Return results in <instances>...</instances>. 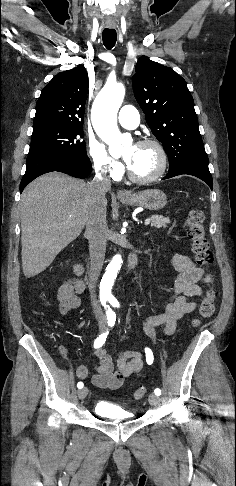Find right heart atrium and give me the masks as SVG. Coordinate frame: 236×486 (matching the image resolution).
Returning <instances> with one entry per match:
<instances>
[{"label": "right heart atrium", "mask_w": 236, "mask_h": 486, "mask_svg": "<svg viewBox=\"0 0 236 486\" xmlns=\"http://www.w3.org/2000/svg\"><path fill=\"white\" fill-rule=\"evenodd\" d=\"M88 155L94 170L98 174L112 179H116L121 175L123 171L122 164L107 152L102 143L90 140L88 143Z\"/></svg>", "instance_id": "d8ad5b80"}]
</instances>
